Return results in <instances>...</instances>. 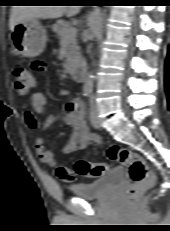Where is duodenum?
<instances>
[{"label":"duodenum","mask_w":170,"mask_h":231,"mask_svg":"<svg viewBox=\"0 0 170 231\" xmlns=\"http://www.w3.org/2000/svg\"><path fill=\"white\" fill-rule=\"evenodd\" d=\"M69 70L72 72L74 77L78 80H83L86 74L85 65L82 62H78L73 66L69 67Z\"/></svg>","instance_id":"1"}]
</instances>
